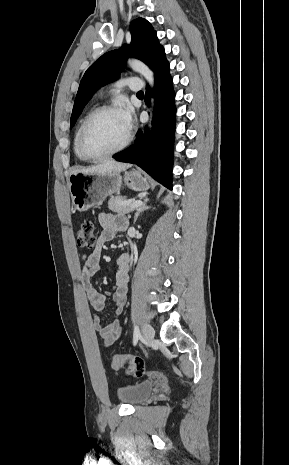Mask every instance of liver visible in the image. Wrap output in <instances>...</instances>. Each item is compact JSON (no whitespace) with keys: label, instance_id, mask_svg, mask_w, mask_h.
I'll list each match as a JSON object with an SVG mask.
<instances>
[{"label":"liver","instance_id":"obj_1","mask_svg":"<svg viewBox=\"0 0 289 465\" xmlns=\"http://www.w3.org/2000/svg\"><path fill=\"white\" fill-rule=\"evenodd\" d=\"M131 167L129 163L116 162L114 160H106L98 165H94L88 168H81L72 171L73 173H120Z\"/></svg>","mask_w":289,"mask_h":465}]
</instances>
